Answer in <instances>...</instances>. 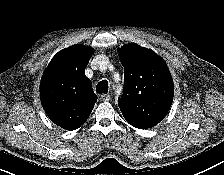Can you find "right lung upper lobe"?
<instances>
[{
    "instance_id": "right-lung-upper-lobe-1",
    "label": "right lung upper lobe",
    "mask_w": 224,
    "mask_h": 175,
    "mask_svg": "<svg viewBox=\"0 0 224 175\" xmlns=\"http://www.w3.org/2000/svg\"><path fill=\"white\" fill-rule=\"evenodd\" d=\"M93 49L73 45L60 51L48 65L40 86L42 106L52 122L75 130L88 119L97 96L85 68Z\"/></svg>"
}]
</instances>
